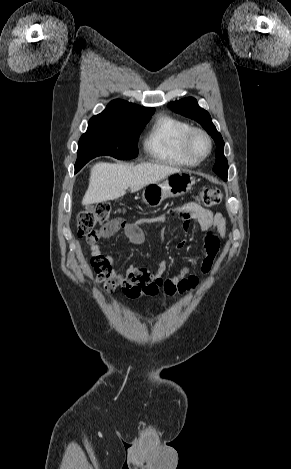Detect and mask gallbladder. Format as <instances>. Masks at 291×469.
<instances>
[{
  "label": "gallbladder",
  "mask_w": 291,
  "mask_h": 469,
  "mask_svg": "<svg viewBox=\"0 0 291 469\" xmlns=\"http://www.w3.org/2000/svg\"><path fill=\"white\" fill-rule=\"evenodd\" d=\"M88 210H94V206H93V205H89V206H88Z\"/></svg>",
  "instance_id": "gallbladder-1"
}]
</instances>
